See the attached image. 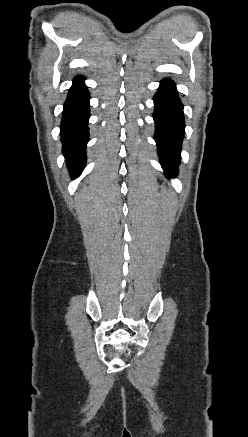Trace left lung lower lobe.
<instances>
[{"label":"left lung lower lobe","mask_w":248,"mask_h":437,"mask_svg":"<svg viewBox=\"0 0 248 437\" xmlns=\"http://www.w3.org/2000/svg\"><path fill=\"white\" fill-rule=\"evenodd\" d=\"M155 141L160 163L168 176H174L180 161L181 143L184 136L183 105L175 84L170 79L161 81L154 96Z\"/></svg>","instance_id":"1"}]
</instances>
